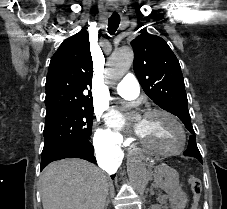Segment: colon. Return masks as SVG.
Returning a JSON list of instances; mask_svg holds the SVG:
<instances>
[{
  "mask_svg": "<svg viewBox=\"0 0 227 209\" xmlns=\"http://www.w3.org/2000/svg\"><path fill=\"white\" fill-rule=\"evenodd\" d=\"M190 189L192 192L193 201L191 209H200V199L202 195V183L197 177H190L189 180Z\"/></svg>",
  "mask_w": 227,
  "mask_h": 209,
  "instance_id": "5ec220e1",
  "label": "colon"
}]
</instances>
